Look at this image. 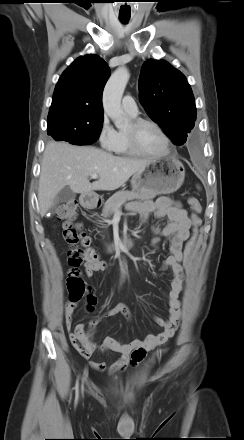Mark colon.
Segmentation results:
<instances>
[{"instance_id": "5ec220e1", "label": "colon", "mask_w": 244, "mask_h": 440, "mask_svg": "<svg viewBox=\"0 0 244 440\" xmlns=\"http://www.w3.org/2000/svg\"><path fill=\"white\" fill-rule=\"evenodd\" d=\"M188 203L192 209V235L186 242L184 248V266H188L189 264L197 232L202 224V220L199 216L202 207L199 200L195 197H190ZM76 212L77 204L75 201H67L61 204L56 211V215L62 230V236L64 240L71 246L68 251V263L71 266V269L68 273L67 278V287L69 293V303L67 304V306L79 302L84 298L87 299L88 304L91 306L94 302V299L92 296L89 295L90 288L82 279L78 267L83 260L91 263L105 262L100 260L98 254L93 249L88 247V237L84 233L80 232L78 227L74 225ZM78 245H81L82 247H84V249L78 248ZM162 354L163 351L157 352L154 355L152 362L160 359Z\"/></svg>"}]
</instances>
